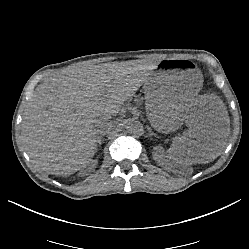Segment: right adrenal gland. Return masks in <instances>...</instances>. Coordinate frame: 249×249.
I'll list each match as a JSON object with an SVG mask.
<instances>
[{
    "label": "right adrenal gland",
    "instance_id": "right-adrenal-gland-1",
    "mask_svg": "<svg viewBox=\"0 0 249 249\" xmlns=\"http://www.w3.org/2000/svg\"><path fill=\"white\" fill-rule=\"evenodd\" d=\"M104 135H105V133L103 132V133H100V134L97 136V142H98L99 144H101V141H102Z\"/></svg>",
    "mask_w": 249,
    "mask_h": 249
}]
</instances>
